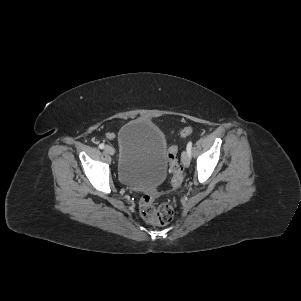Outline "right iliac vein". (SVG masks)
<instances>
[{"mask_svg": "<svg viewBox=\"0 0 301 301\" xmlns=\"http://www.w3.org/2000/svg\"><path fill=\"white\" fill-rule=\"evenodd\" d=\"M104 151H105L107 154H109V155H114V153H115L114 148L111 147L110 145H106V146L104 147Z\"/></svg>", "mask_w": 301, "mask_h": 301, "instance_id": "obj_1", "label": "right iliac vein"}]
</instances>
